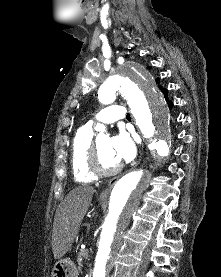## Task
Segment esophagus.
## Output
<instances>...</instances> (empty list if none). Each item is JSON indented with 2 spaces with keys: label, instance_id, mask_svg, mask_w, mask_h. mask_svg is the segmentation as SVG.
Wrapping results in <instances>:
<instances>
[{
  "label": "esophagus",
  "instance_id": "34e87169",
  "mask_svg": "<svg viewBox=\"0 0 221 277\" xmlns=\"http://www.w3.org/2000/svg\"><path fill=\"white\" fill-rule=\"evenodd\" d=\"M142 155V153H141ZM117 182V178H113L111 179L109 182H108V186L105 190H103L100 195H99V198L100 199H106L109 195V192L111 190V188L113 187V185Z\"/></svg>",
  "mask_w": 221,
  "mask_h": 277
}]
</instances>
